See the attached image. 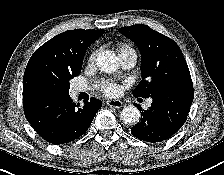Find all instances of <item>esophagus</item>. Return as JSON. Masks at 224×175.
Returning a JSON list of instances; mask_svg holds the SVG:
<instances>
[{"label":"esophagus","instance_id":"34e87169","mask_svg":"<svg viewBox=\"0 0 224 175\" xmlns=\"http://www.w3.org/2000/svg\"><path fill=\"white\" fill-rule=\"evenodd\" d=\"M106 103L109 107H114L117 109H119L123 106V103L119 100H108Z\"/></svg>","mask_w":224,"mask_h":175}]
</instances>
